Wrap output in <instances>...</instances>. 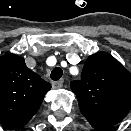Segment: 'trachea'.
I'll list each match as a JSON object with an SVG mask.
<instances>
[{"mask_svg":"<svg viewBox=\"0 0 131 131\" xmlns=\"http://www.w3.org/2000/svg\"><path fill=\"white\" fill-rule=\"evenodd\" d=\"M63 71L61 68L56 67L52 70L50 77L52 80L57 81L62 77Z\"/></svg>","mask_w":131,"mask_h":131,"instance_id":"trachea-1","label":"trachea"}]
</instances>
